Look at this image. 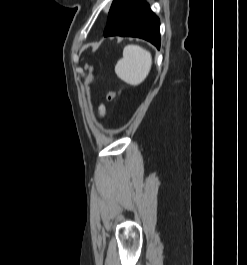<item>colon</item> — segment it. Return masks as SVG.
I'll return each instance as SVG.
<instances>
[{
  "mask_svg": "<svg viewBox=\"0 0 247 265\" xmlns=\"http://www.w3.org/2000/svg\"><path fill=\"white\" fill-rule=\"evenodd\" d=\"M116 95H117L116 91L112 90V91L108 92L107 99L109 101H113L116 98Z\"/></svg>",
  "mask_w": 247,
  "mask_h": 265,
  "instance_id": "colon-1",
  "label": "colon"
}]
</instances>
